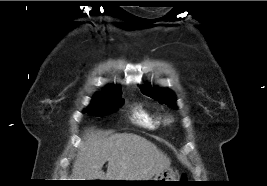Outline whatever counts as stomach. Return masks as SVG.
Instances as JSON below:
<instances>
[{
	"label": "stomach",
	"mask_w": 267,
	"mask_h": 186,
	"mask_svg": "<svg viewBox=\"0 0 267 186\" xmlns=\"http://www.w3.org/2000/svg\"><path fill=\"white\" fill-rule=\"evenodd\" d=\"M176 173L174 170L170 167L164 169L160 173L156 174L154 178L146 181H152L146 183V185H151V186H166V185H171L170 183L172 182H165V181H176Z\"/></svg>",
	"instance_id": "obj_1"
}]
</instances>
